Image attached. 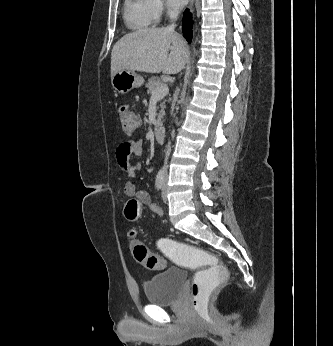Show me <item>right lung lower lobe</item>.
<instances>
[{"instance_id": "1", "label": "right lung lower lobe", "mask_w": 333, "mask_h": 346, "mask_svg": "<svg viewBox=\"0 0 333 346\" xmlns=\"http://www.w3.org/2000/svg\"><path fill=\"white\" fill-rule=\"evenodd\" d=\"M183 36L186 40L191 43L192 41V20L191 13L188 12V9L184 12L183 25H182Z\"/></svg>"}]
</instances>
